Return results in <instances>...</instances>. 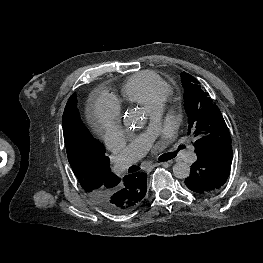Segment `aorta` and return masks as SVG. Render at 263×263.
<instances>
[{"label": "aorta", "mask_w": 263, "mask_h": 263, "mask_svg": "<svg viewBox=\"0 0 263 263\" xmlns=\"http://www.w3.org/2000/svg\"><path fill=\"white\" fill-rule=\"evenodd\" d=\"M124 125L129 129H137L142 125V117L136 110H129L124 116ZM190 174V166L185 162H177L173 166V175L179 179H185Z\"/></svg>", "instance_id": "762f6f07"}]
</instances>
